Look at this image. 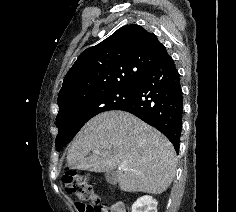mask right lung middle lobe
I'll list each match as a JSON object with an SVG mask.
<instances>
[{"mask_svg": "<svg viewBox=\"0 0 236 212\" xmlns=\"http://www.w3.org/2000/svg\"><path fill=\"white\" fill-rule=\"evenodd\" d=\"M137 87L134 85L115 88L84 97L60 108L56 117L59 130L56 137L57 151L67 145L89 119L101 112L116 110L129 102Z\"/></svg>", "mask_w": 236, "mask_h": 212, "instance_id": "1", "label": "right lung middle lobe"}]
</instances>
